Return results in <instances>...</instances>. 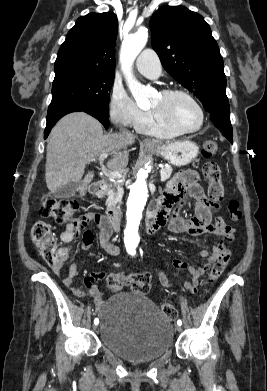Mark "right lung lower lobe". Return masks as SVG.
<instances>
[{"label": "right lung lower lobe", "mask_w": 267, "mask_h": 391, "mask_svg": "<svg viewBox=\"0 0 267 391\" xmlns=\"http://www.w3.org/2000/svg\"><path fill=\"white\" fill-rule=\"evenodd\" d=\"M76 111L86 112V113L92 115L93 117H95L96 119H98L106 129L109 127V114L108 113H105V112L98 110L96 108L85 107L82 105H75V104L66 105V106L58 108V109L47 114V125L45 128L44 138H46L49 135L52 127L56 124V122L61 117H63L64 115H66L68 113L76 112Z\"/></svg>", "instance_id": "obj_1"}]
</instances>
